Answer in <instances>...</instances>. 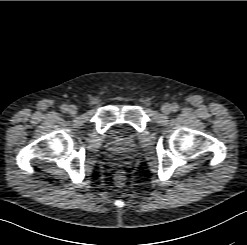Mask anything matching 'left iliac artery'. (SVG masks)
Masks as SVG:
<instances>
[{
	"label": "left iliac artery",
	"instance_id": "obj_1",
	"mask_svg": "<svg viewBox=\"0 0 247 245\" xmlns=\"http://www.w3.org/2000/svg\"><path fill=\"white\" fill-rule=\"evenodd\" d=\"M178 109H179L178 104L174 103V104L172 105V111H173V112H176V111H178Z\"/></svg>",
	"mask_w": 247,
	"mask_h": 245
}]
</instances>
